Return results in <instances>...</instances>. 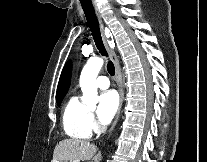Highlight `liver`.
<instances>
[{"label":"liver","instance_id":"liver-1","mask_svg":"<svg viewBox=\"0 0 207 162\" xmlns=\"http://www.w3.org/2000/svg\"><path fill=\"white\" fill-rule=\"evenodd\" d=\"M97 147L86 140L80 139H65L60 141L54 149L53 160L51 162H56L57 160L65 162H75L80 160L88 161L96 156Z\"/></svg>","mask_w":207,"mask_h":162}]
</instances>
